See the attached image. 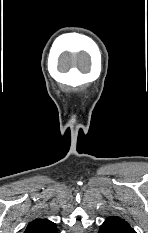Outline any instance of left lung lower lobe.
Returning a JSON list of instances; mask_svg holds the SVG:
<instances>
[{
    "label": "left lung lower lobe",
    "instance_id": "obj_1",
    "mask_svg": "<svg viewBox=\"0 0 148 233\" xmlns=\"http://www.w3.org/2000/svg\"><path fill=\"white\" fill-rule=\"evenodd\" d=\"M99 233H103V232L99 231ZM104 233H110V232H104Z\"/></svg>",
    "mask_w": 148,
    "mask_h": 233
}]
</instances>
